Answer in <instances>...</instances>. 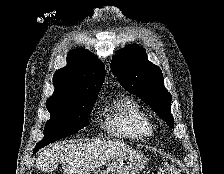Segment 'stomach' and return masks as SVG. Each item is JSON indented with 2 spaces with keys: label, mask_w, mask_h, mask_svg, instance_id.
<instances>
[{
  "label": "stomach",
  "mask_w": 224,
  "mask_h": 174,
  "mask_svg": "<svg viewBox=\"0 0 224 174\" xmlns=\"http://www.w3.org/2000/svg\"><path fill=\"white\" fill-rule=\"evenodd\" d=\"M146 158L140 151L132 150L114 160L105 172L94 169L86 174H136L144 167Z\"/></svg>",
  "instance_id": "1"
}]
</instances>
